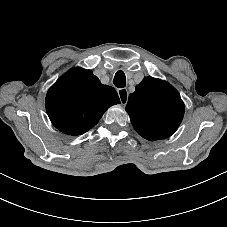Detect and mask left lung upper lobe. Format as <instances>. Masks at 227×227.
Wrapping results in <instances>:
<instances>
[{"instance_id":"left-lung-upper-lobe-1","label":"left lung upper lobe","mask_w":227,"mask_h":227,"mask_svg":"<svg viewBox=\"0 0 227 227\" xmlns=\"http://www.w3.org/2000/svg\"><path fill=\"white\" fill-rule=\"evenodd\" d=\"M126 111L138 134L155 141L177 130L183 119L184 103L169 83L147 77L129 95Z\"/></svg>"}]
</instances>
